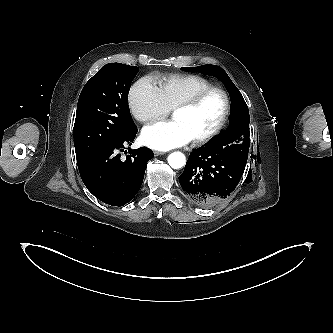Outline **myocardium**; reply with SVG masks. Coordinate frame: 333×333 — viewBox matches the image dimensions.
<instances>
[{"instance_id":"f54148a6","label":"myocardium","mask_w":333,"mask_h":333,"mask_svg":"<svg viewBox=\"0 0 333 333\" xmlns=\"http://www.w3.org/2000/svg\"><path fill=\"white\" fill-rule=\"evenodd\" d=\"M212 93H219L223 97L224 99L223 114L217 125L210 132L197 139L192 140V144L194 146H202L208 143L216 136H218L226 126L231 111V101L228 93L223 88L211 86L199 91L189 99L179 103L177 106L173 108V114L177 111L193 109L197 107L206 97H208Z\"/></svg>"}]
</instances>
